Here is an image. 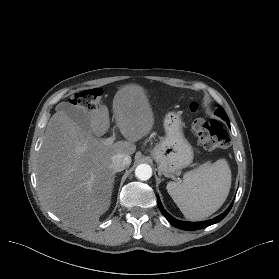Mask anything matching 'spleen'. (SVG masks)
<instances>
[{"mask_svg":"<svg viewBox=\"0 0 279 279\" xmlns=\"http://www.w3.org/2000/svg\"><path fill=\"white\" fill-rule=\"evenodd\" d=\"M230 187V167L225 159H219L187 172L183 181H171L166 188L187 219L201 221L223 205Z\"/></svg>","mask_w":279,"mask_h":279,"instance_id":"1","label":"spleen"}]
</instances>
